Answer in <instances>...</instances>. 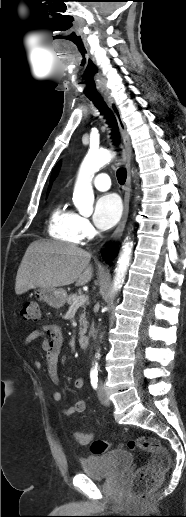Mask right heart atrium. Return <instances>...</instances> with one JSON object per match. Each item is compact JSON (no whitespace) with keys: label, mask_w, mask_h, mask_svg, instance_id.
<instances>
[{"label":"right heart atrium","mask_w":186,"mask_h":517,"mask_svg":"<svg viewBox=\"0 0 186 517\" xmlns=\"http://www.w3.org/2000/svg\"><path fill=\"white\" fill-rule=\"evenodd\" d=\"M76 229L81 240L91 239L95 235V229L91 222L79 214H76Z\"/></svg>","instance_id":"obj_1"}]
</instances>
